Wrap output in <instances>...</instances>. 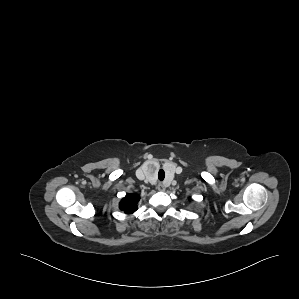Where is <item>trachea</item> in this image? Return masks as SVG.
<instances>
[{"label": "trachea", "instance_id": "obj_1", "mask_svg": "<svg viewBox=\"0 0 299 299\" xmlns=\"http://www.w3.org/2000/svg\"><path fill=\"white\" fill-rule=\"evenodd\" d=\"M164 178H165V172L163 169H160L158 172V179L162 181Z\"/></svg>", "mask_w": 299, "mask_h": 299}]
</instances>
